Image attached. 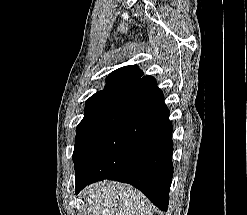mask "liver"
<instances>
[{"label":"liver","mask_w":247,"mask_h":215,"mask_svg":"<svg viewBox=\"0 0 247 215\" xmlns=\"http://www.w3.org/2000/svg\"><path fill=\"white\" fill-rule=\"evenodd\" d=\"M92 215H152L149 201L137 190L111 181L82 191Z\"/></svg>","instance_id":"1"}]
</instances>
